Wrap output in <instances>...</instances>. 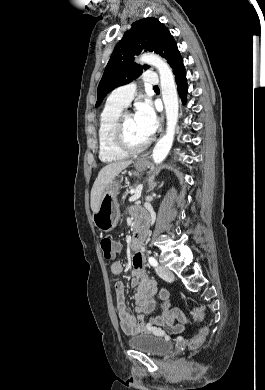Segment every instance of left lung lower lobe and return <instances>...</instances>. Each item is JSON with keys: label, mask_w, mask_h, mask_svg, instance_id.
I'll return each instance as SVG.
<instances>
[{"label": "left lung lower lobe", "mask_w": 265, "mask_h": 390, "mask_svg": "<svg viewBox=\"0 0 265 390\" xmlns=\"http://www.w3.org/2000/svg\"><path fill=\"white\" fill-rule=\"evenodd\" d=\"M173 73L175 75V80L178 85V93L183 103L186 102L187 95V80H186V71L183 65V59L181 54H178L174 59L172 65Z\"/></svg>", "instance_id": "0a47b994"}]
</instances>
